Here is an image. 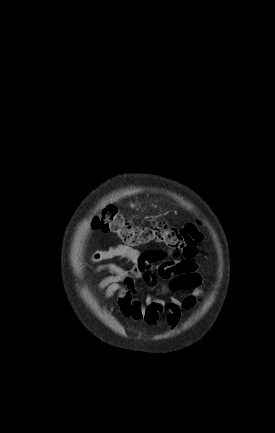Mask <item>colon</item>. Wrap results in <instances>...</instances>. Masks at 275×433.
<instances>
[{
  "label": "colon",
  "mask_w": 275,
  "mask_h": 433,
  "mask_svg": "<svg viewBox=\"0 0 275 433\" xmlns=\"http://www.w3.org/2000/svg\"><path fill=\"white\" fill-rule=\"evenodd\" d=\"M93 228L117 236L125 245L139 247L151 243L164 244L175 257L189 258L196 254L202 234L194 223L182 227L169 226L163 221L136 225L121 215L115 206H107L96 215Z\"/></svg>",
  "instance_id": "5ec220e1"
}]
</instances>
